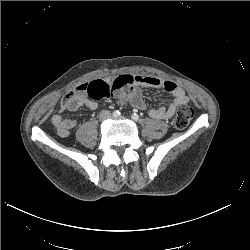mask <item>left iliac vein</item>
Instances as JSON below:
<instances>
[{
    "label": "left iliac vein",
    "mask_w": 250,
    "mask_h": 250,
    "mask_svg": "<svg viewBox=\"0 0 250 250\" xmlns=\"http://www.w3.org/2000/svg\"><path fill=\"white\" fill-rule=\"evenodd\" d=\"M115 119H125V117L120 116V117H114Z\"/></svg>",
    "instance_id": "obj_1"
}]
</instances>
